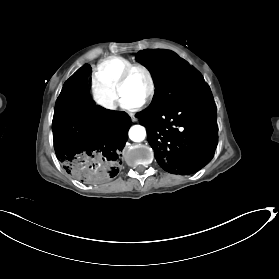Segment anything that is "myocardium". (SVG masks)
Masks as SVG:
<instances>
[{
  "label": "myocardium",
  "mask_w": 279,
  "mask_h": 279,
  "mask_svg": "<svg viewBox=\"0 0 279 279\" xmlns=\"http://www.w3.org/2000/svg\"><path fill=\"white\" fill-rule=\"evenodd\" d=\"M134 71L143 72L149 81V90H148L147 95L141 102V106H142V105L149 103L153 99L155 92H156V82H155L154 76H153L152 72L146 66H144L142 64L133 63V64L127 66L121 72L119 79H118V83H117V94L122 98V92L129 80L131 74Z\"/></svg>",
  "instance_id": "f54148a6"
}]
</instances>
